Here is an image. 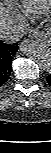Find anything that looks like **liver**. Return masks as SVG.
<instances>
[{
	"label": "liver",
	"mask_w": 51,
	"mask_h": 153,
	"mask_svg": "<svg viewBox=\"0 0 51 153\" xmlns=\"http://www.w3.org/2000/svg\"><path fill=\"white\" fill-rule=\"evenodd\" d=\"M12 23V18L8 13V10L1 4L0 7V30L9 26Z\"/></svg>",
	"instance_id": "1"
}]
</instances>
